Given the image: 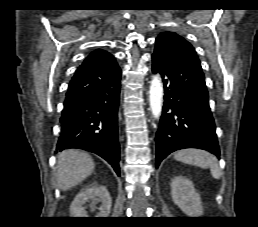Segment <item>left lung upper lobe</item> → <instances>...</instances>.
Wrapping results in <instances>:
<instances>
[{
    "mask_svg": "<svg viewBox=\"0 0 258 227\" xmlns=\"http://www.w3.org/2000/svg\"><path fill=\"white\" fill-rule=\"evenodd\" d=\"M163 47L201 68L200 61L192 45L174 32H162L156 38V47Z\"/></svg>",
    "mask_w": 258,
    "mask_h": 227,
    "instance_id": "1",
    "label": "left lung upper lobe"
}]
</instances>
